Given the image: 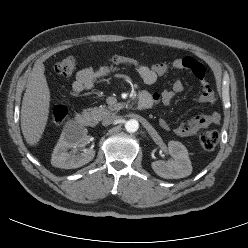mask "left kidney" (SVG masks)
I'll use <instances>...</instances> for the list:
<instances>
[{"label": "left kidney", "mask_w": 248, "mask_h": 248, "mask_svg": "<svg viewBox=\"0 0 248 248\" xmlns=\"http://www.w3.org/2000/svg\"><path fill=\"white\" fill-rule=\"evenodd\" d=\"M169 153L173 160L152 162L154 172L165 179H179L192 173V165L186 147L177 141L168 143Z\"/></svg>", "instance_id": "left-kidney-1"}]
</instances>
